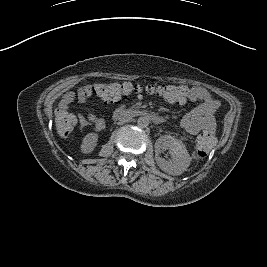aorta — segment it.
<instances>
[{
	"label": "aorta",
	"mask_w": 267,
	"mask_h": 267,
	"mask_svg": "<svg viewBox=\"0 0 267 267\" xmlns=\"http://www.w3.org/2000/svg\"><path fill=\"white\" fill-rule=\"evenodd\" d=\"M137 125L139 128H146L149 125V119L146 117H139L137 120Z\"/></svg>",
	"instance_id": "obj_1"
}]
</instances>
